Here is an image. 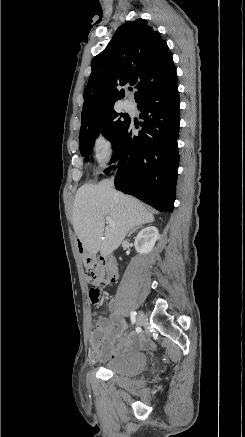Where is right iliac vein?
<instances>
[{"instance_id": "obj_1", "label": "right iliac vein", "mask_w": 245, "mask_h": 437, "mask_svg": "<svg viewBox=\"0 0 245 437\" xmlns=\"http://www.w3.org/2000/svg\"><path fill=\"white\" fill-rule=\"evenodd\" d=\"M145 322V316L142 311H139L137 314V325H142Z\"/></svg>"}]
</instances>
